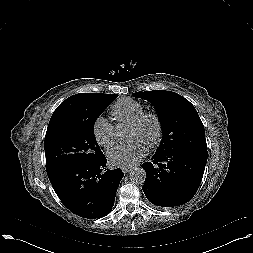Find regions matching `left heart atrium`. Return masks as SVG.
Listing matches in <instances>:
<instances>
[{
  "mask_svg": "<svg viewBox=\"0 0 253 253\" xmlns=\"http://www.w3.org/2000/svg\"><path fill=\"white\" fill-rule=\"evenodd\" d=\"M147 152L146 144L139 139L118 144L108 153L111 165L128 167L136 164Z\"/></svg>",
  "mask_w": 253,
  "mask_h": 253,
  "instance_id": "left-heart-atrium-1",
  "label": "left heart atrium"
}]
</instances>
